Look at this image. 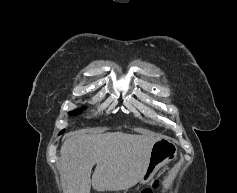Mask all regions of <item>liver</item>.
I'll list each match as a JSON object with an SVG mask.
<instances>
[{
	"label": "liver",
	"instance_id": "liver-1",
	"mask_svg": "<svg viewBox=\"0 0 237 193\" xmlns=\"http://www.w3.org/2000/svg\"><path fill=\"white\" fill-rule=\"evenodd\" d=\"M160 137L123 132L69 133L60 150L64 193L127 190L144 174L152 146ZM96 164L95 171H91Z\"/></svg>",
	"mask_w": 237,
	"mask_h": 193
}]
</instances>
